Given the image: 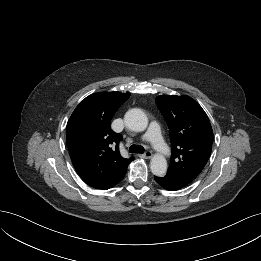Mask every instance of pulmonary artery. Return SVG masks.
<instances>
[{"mask_svg":"<svg viewBox=\"0 0 261 261\" xmlns=\"http://www.w3.org/2000/svg\"><path fill=\"white\" fill-rule=\"evenodd\" d=\"M143 139L149 141L154 149L162 155H167L169 153L163 138L161 136L160 127L156 122H152L143 136Z\"/></svg>","mask_w":261,"mask_h":261,"instance_id":"1","label":"pulmonary artery"}]
</instances>
